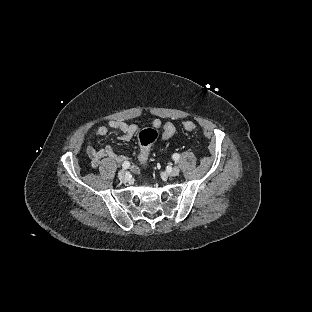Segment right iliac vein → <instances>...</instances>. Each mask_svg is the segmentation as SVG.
I'll use <instances>...</instances> for the list:
<instances>
[{
    "mask_svg": "<svg viewBox=\"0 0 312 312\" xmlns=\"http://www.w3.org/2000/svg\"><path fill=\"white\" fill-rule=\"evenodd\" d=\"M118 179H119L121 182H126V181H128V175H127V173H126L124 170L119 171V173H118Z\"/></svg>",
    "mask_w": 312,
    "mask_h": 312,
    "instance_id": "right-iliac-vein-1",
    "label": "right iliac vein"
}]
</instances>
